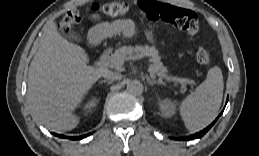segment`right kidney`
Here are the masks:
<instances>
[{
  "mask_svg": "<svg viewBox=\"0 0 259 156\" xmlns=\"http://www.w3.org/2000/svg\"><path fill=\"white\" fill-rule=\"evenodd\" d=\"M98 104V99L96 97L90 98V100L84 105L83 110L85 114L91 112Z\"/></svg>",
  "mask_w": 259,
  "mask_h": 156,
  "instance_id": "ca27d5eb",
  "label": "right kidney"
}]
</instances>
